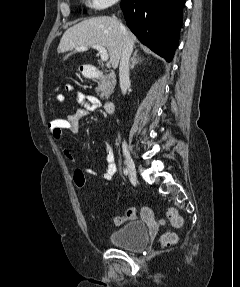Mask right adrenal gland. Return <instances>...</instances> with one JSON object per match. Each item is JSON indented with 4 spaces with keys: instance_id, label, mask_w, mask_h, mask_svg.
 Wrapping results in <instances>:
<instances>
[{
    "instance_id": "obj_1",
    "label": "right adrenal gland",
    "mask_w": 240,
    "mask_h": 287,
    "mask_svg": "<svg viewBox=\"0 0 240 287\" xmlns=\"http://www.w3.org/2000/svg\"><path fill=\"white\" fill-rule=\"evenodd\" d=\"M137 53H138V50H135L134 53H133V56H132V58H131L130 69H133L134 66L139 62V61L136 59Z\"/></svg>"
}]
</instances>
